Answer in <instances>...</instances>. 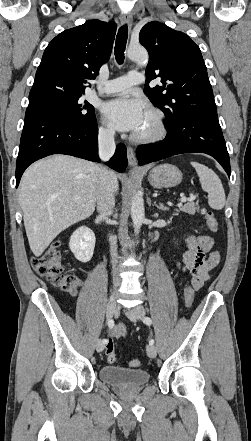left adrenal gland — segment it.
Wrapping results in <instances>:
<instances>
[{
    "mask_svg": "<svg viewBox=\"0 0 251 441\" xmlns=\"http://www.w3.org/2000/svg\"><path fill=\"white\" fill-rule=\"evenodd\" d=\"M154 205L159 209V210H168V208L164 207L163 204H159V206L156 204V202H154Z\"/></svg>",
    "mask_w": 251,
    "mask_h": 441,
    "instance_id": "obj_1",
    "label": "left adrenal gland"
}]
</instances>
